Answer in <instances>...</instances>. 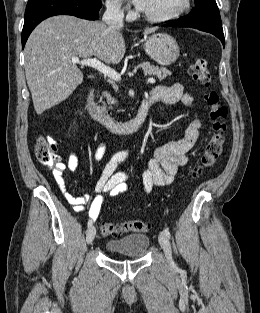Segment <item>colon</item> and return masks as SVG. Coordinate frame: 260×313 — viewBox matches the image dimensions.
Here are the masks:
<instances>
[{
	"mask_svg": "<svg viewBox=\"0 0 260 313\" xmlns=\"http://www.w3.org/2000/svg\"><path fill=\"white\" fill-rule=\"evenodd\" d=\"M189 73L198 83L206 87L210 86L211 74L207 60H195L189 68ZM206 101L209 106L212 133L204 148L200 163L193 167L189 173L190 179L199 178L204 171L215 165L221 155L225 140L227 110L220 104L219 96L215 91H210L207 94ZM35 152L43 165L50 168L58 167L59 158L56 154V142L52 138L39 136ZM148 229L149 224L142 220H127L117 223L103 222L100 226L101 234L105 237H118L126 233H143Z\"/></svg>",
	"mask_w": 260,
	"mask_h": 313,
	"instance_id": "1",
	"label": "colon"
}]
</instances>
